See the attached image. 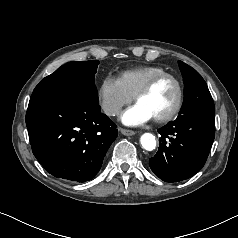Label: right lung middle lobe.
I'll return each instance as SVG.
<instances>
[{
	"label": "right lung middle lobe",
	"instance_id": "1",
	"mask_svg": "<svg viewBox=\"0 0 238 238\" xmlns=\"http://www.w3.org/2000/svg\"><path fill=\"white\" fill-rule=\"evenodd\" d=\"M99 61L69 62L45 77L34 89L32 95L77 93L98 102L94 84Z\"/></svg>",
	"mask_w": 238,
	"mask_h": 238
}]
</instances>
